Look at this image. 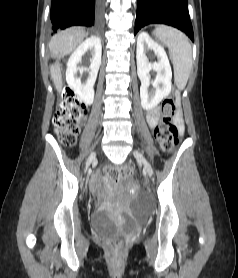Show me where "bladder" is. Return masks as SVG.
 <instances>
[{"label": "bladder", "instance_id": "1", "mask_svg": "<svg viewBox=\"0 0 238 278\" xmlns=\"http://www.w3.org/2000/svg\"><path fill=\"white\" fill-rule=\"evenodd\" d=\"M91 225L96 231L101 233H107L117 227V223L104 210L96 211L92 214Z\"/></svg>", "mask_w": 238, "mask_h": 278}]
</instances>
